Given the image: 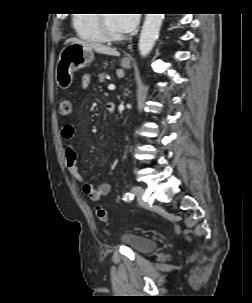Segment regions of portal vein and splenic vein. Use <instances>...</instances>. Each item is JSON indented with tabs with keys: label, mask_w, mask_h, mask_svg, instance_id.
Listing matches in <instances>:
<instances>
[{
	"label": "portal vein and splenic vein",
	"mask_w": 252,
	"mask_h": 303,
	"mask_svg": "<svg viewBox=\"0 0 252 303\" xmlns=\"http://www.w3.org/2000/svg\"><path fill=\"white\" fill-rule=\"evenodd\" d=\"M108 89L109 90H114L115 89V85L114 84H109L108 85Z\"/></svg>",
	"instance_id": "obj_1"
}]
</instances>
